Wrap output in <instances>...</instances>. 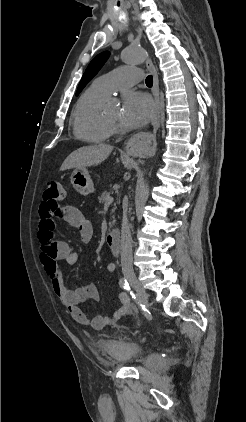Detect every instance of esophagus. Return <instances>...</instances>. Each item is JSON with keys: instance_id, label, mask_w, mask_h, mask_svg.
Instances as JSON below:
<instances>
[{"instance_id": "34e87169", "label": "esophagus", "mask_w": 246, "mask_h": 422, "mask_svg": "<svg viewBox=\"0 0 246 422\" xmlns=\"http://www.w3.org/2000/svg\"><path fill=\"white\" fill-rule=\"evenodd\" d=\"M146 66L153 75L152 92L155 101V113L152 118L153 130L152 133L139 134L129 140L126 146V152L129 155L145 156L153 154L156 150V133L160 126L159 79L157 70L149 57L146 59Z\"/></svg>"}]
</instances>
